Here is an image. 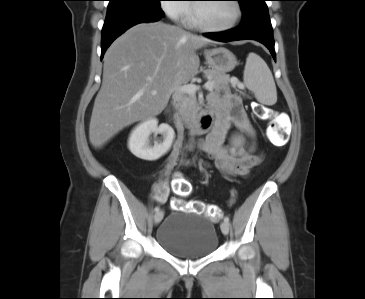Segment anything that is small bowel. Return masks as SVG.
I'll return each mask as SVG.
<instances>
[{
    "label": "small bowel",
    "mask_w": 365,
    "mask_h": 299,
    "mask_svg": "<svg viewBox=\"0 0 365 299\" xmlns=\"http://www.w3.org/2000/svg\"><path fill=\"white\" fill-rule=\"evenodd\" d=\"M215 106L213 130L199 143V147L215 161L217 169L227 175L243 177L263 160L256 150V133L242 108L241 99L234 94L220 96L218 92L210 95ZM235 127L249 137V145L239 151L229 149L225 144L227 131ZM176 164L171 158L165 165L160 179L155 184L154 198L164 202L169 196L167 177Z\"/></svg>",
    "instance_id": "c3829d8e"
}]
</instances>
